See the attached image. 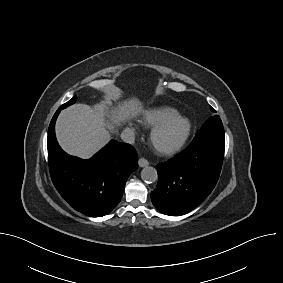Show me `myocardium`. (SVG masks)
<instances>
[{"label": "myocardium", "instance_id": "obj_1", "mask_svg": "<svg viewBox=\"0 0 283 283\" xmlns=\"http://www.w3.org/2000/svg\"><path fill=\"white\" fill-rule=\"evenodd\" d=\"M182 122L184 125V129L183 132L180 136V138L174 142L173 144L166 146V147H158L155 144V138L156 136L164 129L166 128L169 124L173 123V122ZM192 131V124L191 121L189 120V118H187L184 115L181 114H174L171 115L165 119H163L161 122H159L158 124H156L151 132H150V142L153 145V147L156 149V151L163 155V156H170V155H174L176 153H178L186 144V142L188 141L190 134Z\"/></svg>", "mask_w": 283, "mask_h": 283}]
</instances>
